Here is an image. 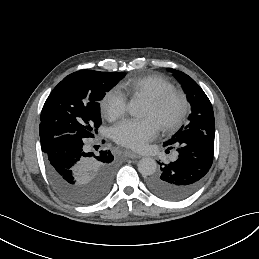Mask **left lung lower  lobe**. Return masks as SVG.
<instances>
[{
	"label": "left lung lower lobe",
	"instance_id": "1",
	"mask_svg": "<svg viewBox=\"0 0 259 259\" xmlns=\"http://www.w3.org/2000/svg\"><path fill=\"white\" fill-rule=\"evenodd\" d=\"M178 159L160 163L161 172L148 179L147 186L156 196L168 201H181L198 190L211 168L214 153V133L210 130L187 129L176 145Z\"/></svg>",
	"mask_w": 259,
	"mask_h": 259
}]
</instances>
